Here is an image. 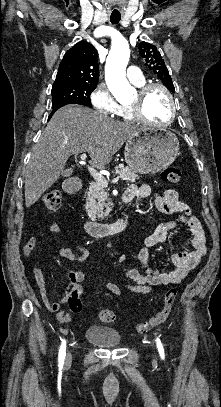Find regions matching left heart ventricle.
Listing matches in <instances>:
<instances>
[{"label":"left heart ventricle","instance_id":"left-heart-ventricle-1","mask_svg":"<svg viewBox=\"0 0 221 407\" xmlns=\"http://www.w3.org/2000/svg\"><path fill=\"white\" fill-rule=\"evenodd\" d=\"M137 94L133 102L136 100ZM143 110L145 116L156 123H163L169 119L170 104L165 93L160 89H153L147 95Z\"/></svg>","mask_w":221,"mask_h":407}]
</instances>
